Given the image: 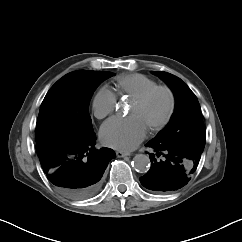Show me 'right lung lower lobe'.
Listing matches in <instances>:
<instances>
[{
    "label": "right lung lower lobe",
    "mask_w": 242,
    "mask_h": 242,
    "mask_svg": "<svg viewBox=\"0 0 242 242\" xmlns=\"http://www.w3.org/2000/svg\"><path fill=\"white\" fill-rule=\"evenodd\" d=\"M96 135L55 134L37 142V155L48 180L73 199H86L100 189L103 173L115 158L112 149H95Z\"/></svg>",
    "instance_id": "98d812e1"
}]
</instances>
